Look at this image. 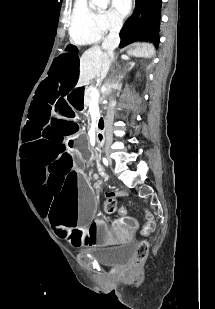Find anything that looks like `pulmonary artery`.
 I'll list each match as a JSON object with an SVG mask.
<instances>
[{
    "label": "pulmonary artery",
    "instance_id": "e3ab8cb5",
    "mask_svg": "<svg viewBox=\"0 0 215 309\" xmlns=\"http://www.w3.org/2000/svg\"><path fill=\"white\" fill-rule=\"evenodd\" d=\"M76 8L77 9L74 10L75 16H86L87 10L84 8H89V1H83V0L76 1Z\"/></svg>",
    "mask_w": 215,
    "mask_h": 309
}]
</instances>
